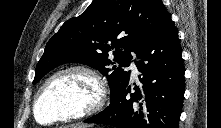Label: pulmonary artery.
<instances>
[{"instance_id":"pulmonary-artery-1","label":"pulmonary artery","mask_w":221,"mask_h":128,"mask_svg":"<svg viewBox=\"0 0 221 128\" xmlns=\"http://www.w3.org/2000/svg\"><path fill=\"white\" fill-rule=\"evenodd\" d=\"M129 67L132 70L133 78H137V76H138V69H137V65H136L134 60L131 61Z\"/></svg>"}]
</instances>
